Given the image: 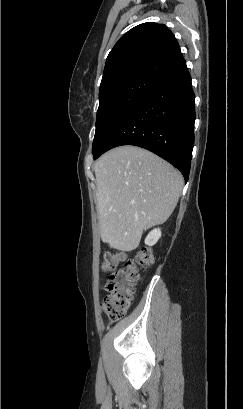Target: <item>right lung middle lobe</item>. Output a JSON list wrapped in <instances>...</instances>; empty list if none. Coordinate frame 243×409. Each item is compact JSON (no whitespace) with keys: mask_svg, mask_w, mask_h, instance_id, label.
Here are the masks:
<instances>
[{"mask_svg":"<svg viewBox=\"0 0 243 409\" xmlns=\"http://www.w3.org/2000/svg\"><path fill=\"white\" fill-rule=\"evenodd\" d=\"M159 82L147 76H136L112 84L99 97L93 155H97L109 137Z\"/></svg>","mask_w":243,"mask_h":409,"instance_id":"1","label":"right lung middle lobe"}]
</instances>
